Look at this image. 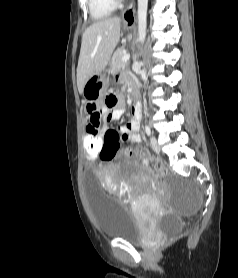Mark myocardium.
Wrapping results in <instances>:
<instances>
[{"label": "myocardium", "mask_w": 238, "mask_h": 278, "mask_svg": "<svg viewBox=\"0 0 238 278\" xmlns=\"http://www.w3.org/2000/svg\"><path fill=\"white\" fill-rule=\"evenodd\" d=\"M116 5L121 2L122 0H112Z\"/></svg>", "instance_id": "obj_1"}]
</instances>
